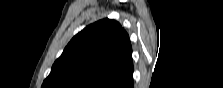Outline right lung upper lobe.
I'll use <instances>...</instances> for the list:
<instances>
[{
	"label": "right lung upper lobe",
	"instance_id": "1",
	"mask_svg": "<svg viewBox=\"0 0 223 88\" xmlns=\"http://www.w3.org/2000/svg\"><path fill=\"white\" fill-rule=\"evenodd\" d=\"M129 36L115 20L95 22L68 43L42 88H132Z\"/></svg>",
	"mask_w": 223,
	"mask_h": 88
}]
</instances>
